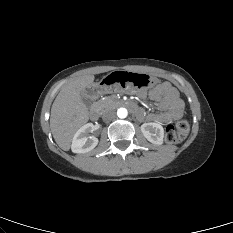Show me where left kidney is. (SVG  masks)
I'll list each match as a JSON object with an SVG mask.
<instances>
[{
	"instance_id": "left-kidney-1",
	"label": "left kidney",
	"mask_w": 233,
	"mask_h": 233,
	"mask_svg": "<svg viewBox=\"0 0 233 233\" xmlns=\"http://www.w3.org/2000/svg\"><path fill=\"white\" fill-rule=\"evenodd\" d=\"M144 137L151 143L161 145L164 138V129L158 123H144L141 125Z\"/></svg>"
}]
</instances>
